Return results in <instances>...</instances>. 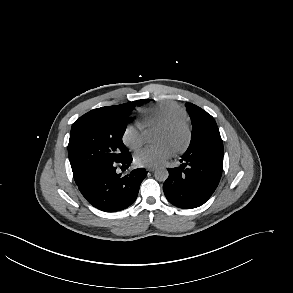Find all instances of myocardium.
<instances>
[{
	"label": "myocardium",
	"instance_id": "myocardium-1",
	"mask_svg": "<svg viewBox=\"0 0 293 293\" xmlns=\"http://www.w3.org/2000/svg\"><path fill=\"white\" fill-rule=\"evenodd\" d=\"M160 130L165 132L174 133L176 131L182 130L185 133V139L183 143L174 149L176 154L184 153L190 146L192 141V128L186 119H180L168 124L160 126Z\"/></svg>",
	"mask_w": 293,
	"mask_h": 293
}]
</instances>
